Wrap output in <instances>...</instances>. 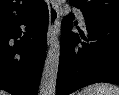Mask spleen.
Instances as JSON below:
<instances>
[{"label":"spleen","mask_w":119,"mask_h":95,"mask_svg":"<svg viewBox=\"0 0 119 95\" xmlns=\"http://www.w3.org/2000/svg\"><path fill=\"white\" fill-rule=\"evenodd\" d=\"M78 95H119V88L109 83H97L87 86Z\"/></svg>","instance_id":"1"}]
</instances>
